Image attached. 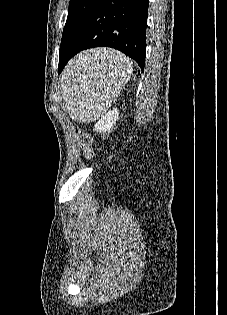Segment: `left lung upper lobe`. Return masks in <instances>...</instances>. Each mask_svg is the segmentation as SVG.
I'll list each match as a JSON object with an SVG mask.
<instances>
[{
    "label": "left lung upper lobe",
    "instance_id": "5c2ea615",
    "mask_svg": "<svg viewBox=\"0 0 227 315\" xmlns=\"http://www.w3.org/2000/svg\"><path fill=\"white\" fill-rule=\"evenodd\" d=\"M97 2L98 0H70L60 49L65 46L78 24L88 15Z\"/></svg>",
    "mask_w": 227,
    "mask_h": 315
}]
</instances>
